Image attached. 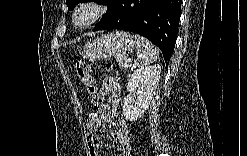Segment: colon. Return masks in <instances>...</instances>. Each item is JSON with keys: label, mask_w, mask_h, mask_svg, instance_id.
I'll return each instance as SVG.
<instances>
[{"label": "colon", "mask_w": 247, "mask_h": 156, "mask_svg": "<svg viewBox=\"0 0 247 156\" xmlns=\"http://www.w3.org/2000/svg\"><path fill=\"white\" fill-rule=\"evenodd\" d=\"M106 71L112 70V64L106 63L104 66ZM76 75L80 82L85 86L86 91L92 97V112H99L100 106H103L104 98L99 97L97 84L92 74V65L84 59L77 60L75 64Z\"/></svg>", "instance_id": "obj_1"}]
</instances>
